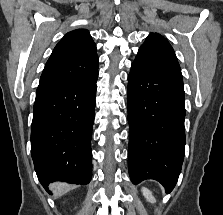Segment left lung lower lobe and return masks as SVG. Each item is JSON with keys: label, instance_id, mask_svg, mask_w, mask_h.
<instances>
[{"label": "left lung lower lobe", "instance_id": "0a47b994", "mask_svg": "<svg viewBox=\"0 0 223 215\" xmlns=\"http://www.w3.org/2000/svg\"><path fill=\"white\" fill-rule=\"evenodd\" d=\"M183 80L132 63L128 75V169L133 184L159 181L170 193L185 153Z\"/></svg>", "mask_w": 223, "mask_h": 215}]
</instances>
